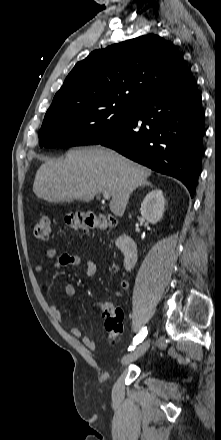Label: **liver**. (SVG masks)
<instances>
[{
	"label": "liver",
	"mask_w": 221,
	"mask_h": 440,
	"mask_svg": "<svg viewBox=\"0 0 221 440\" xmlns=\"http://www.w3.org/2000/svg\"><path fill=\"white\" fill-rule=\"evenodd\" d=\"M152 171L113 150L96 146L69 150L63 160H46L35 175L33 192L48 202L91 201L108 192L110 210L121 217L129 196Z\"/></svg>",
	"instance_id": "6515ba94"
}]
</instances>
